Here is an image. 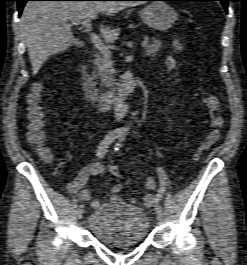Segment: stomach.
Wrapping results in <instances>:
<instances>
[{
  "mask_svg": "<svg viewBox=\"0 0 247 265\" xmlns=\"http://www.w3.org/2000/svg\"><path fill=\"white\" fill-rule=\"evenodd\" d=\"M140 16L144 23L158 31L171 28L178 18L177 12L164 2L149 4L140 12Z\"/></svg>",
  "mask_w": 247,
  "mask_h": 265,
  "instance_id": "1",
  "label": "stomach"
}]
</instances>
